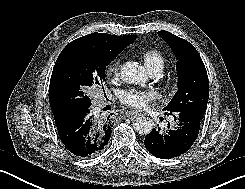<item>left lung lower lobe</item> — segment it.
Returning <instances> with one entry per match:
<instances>
[{
  "mask_svg": "<svg viewBox=\"0 0 245 189\" xmlns=\"http://www.w3.org/2000/svg\"><path fill=\"white\" fill-rule=\"evenodd\" d=\"M174 120L177 124L175 128H170V125L166 131L154 128L145 137L144 145L153 156L161 159L177 157L185 153L196 140L202 120L198 115L188 111L179 112Z\"/></svg>",
  "mask_w": 245,
  "mask_h": 189,
  "instance_id": "left-lung-lower-lobe-1",
  "label": "left lung lower lobe"
}]
</instances>
